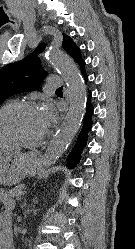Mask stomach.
Instances as JSON below:
<instances>
[{
    "label": "stomach",
    "mask_w": 135,
    "mask_h": 249,
    "mask_svg": "<svg viewBox=\"0 0 135 249\" xmlns=\"http://www.w3.org/2000/svg\"><path fill=\"white\" fill-rule=\"evenodd\" d=\"M37 152L21 153L16 149H0V184L14 185L34 175L39 167Z\"/></svg>",
    "instance_id": "stomach-1"
}]
</instances>
